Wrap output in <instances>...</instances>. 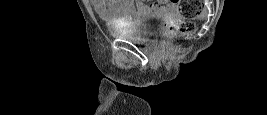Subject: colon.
I'll list each match as a JSON object with an SVG mask.
<instances>
[{"instance_id": "5ec220e1", "label": "colon", "mask_w": 267, "mask_h": 115, "mask_svg": "<svg viewBox=\"0 0 267 115\" xmlns=\"http://www.w3.org/2000/svg\"><path fill=\"white\" fill-rule=\"evenodd\" d=\"M179 4V12L182 17L189 21H183L176 25L166 28L163 33V39L166 41L173 40L179 36L189 35L195 29L193 19L202 13L203 5L200 0H171Z\"/></svg>"}]
</instances>
